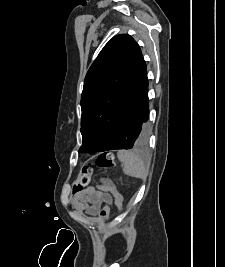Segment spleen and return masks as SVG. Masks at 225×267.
<instances>
[{
  "label": "spleen",
  "instance_id": "3e777b00",
  "mask_svg": "<svg viewBox=\"0 0 225 267\" xmlns=\"http://www.w3.org/2000/svg\"><path fill=\"white\" fill-rule=\"evenodd\" d=\"M117 157L123 163V172L127 176L142 180L146 179L148 169L139 156L129 150H120Z\"/></svg>",
  "mask_w": 225,
  "mask_h": 267
}]
</instances>
